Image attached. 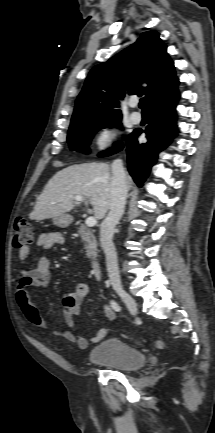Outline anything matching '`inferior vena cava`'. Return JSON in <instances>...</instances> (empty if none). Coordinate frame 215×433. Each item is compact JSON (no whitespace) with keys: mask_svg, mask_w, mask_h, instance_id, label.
Listing matches in <instances>:
<instances>
[{"mask_svg":"<svg viewBox=\"0 0 215 433\" xmlns=\"http://www.w3.org/2000/svg\"><path fill=\"white\" fill-rule=\"evenodd\" d=\"M112 196L110 211L100 226V242L106 256V265L111 285L115 291H122L119 275L117 254L112 237L115 226L121 219L126 204L127 185L126 174L121 159L113 161L112 165Z\"/></svg>","mask_w":215,"mask_h":433,"instance_id":"inferior-vena-cava-1","label":"inferior vena cava"}]
</instances>
